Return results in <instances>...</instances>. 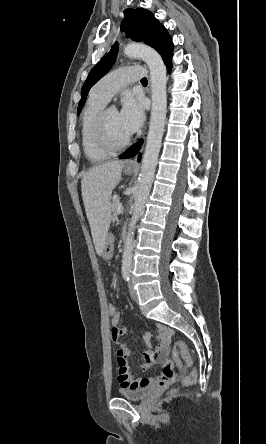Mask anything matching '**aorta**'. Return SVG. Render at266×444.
Segmentation results:
<instances>
[{
  "mask_svg": "<svg viewBox=\"0 0 266 444\" xmlns=\"http://www.w3.org/2000/svg\"><path fill=\"white\" fill-rule=\"evenodd\" d=\"M124 53L127 56L142 59L148 65L152 99L149 131L139 175V186L135 195L133 215L122 255V273L129 275L132 267L135 226L139 216L144 212L145 203L151 190L164 133L167 107V78L163 60L153 48L144 44L133 43L128 44L124 48Z\"/></svg>",
  "mask_w": 266,
  "mask_h": 444,
  "instance_id": "obj_1",
  "label": "aorta"
}]
</instances>
